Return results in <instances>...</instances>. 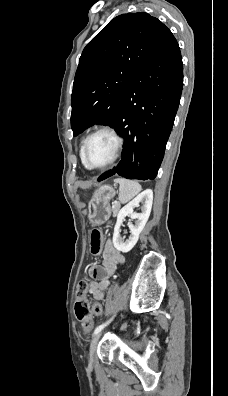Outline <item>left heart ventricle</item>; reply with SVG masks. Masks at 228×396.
<instances>
[{
    "label": "left heart ventricle",
    "instance_id": "left-heart-ventricle-1",
    "mask_svg": "<svg viewBox=\"0 0 228 396\" xmlns=\"http://www.w3.org/2000/svg\"><path fill=\"white\" fill-rule=\"evenodd\" d=\"M115 141L107 133L95 135L89 142L87 149V158L91 165H102L106 163L113 155Z\"/></svg>",
    "mask_w": 228,
    "mask_h": 396
}]
</instances>
